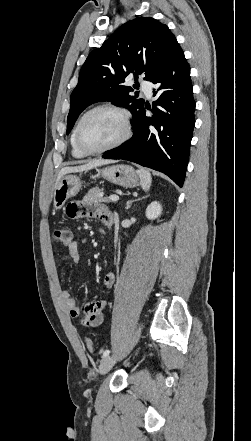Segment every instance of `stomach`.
<instances>
[{
  "instance_id": "obj_1",
  "label": "stomach",
  "mask_w": 251,
  "mask_h": 441,
  "mask_svg": "<svg viewBox=\"0 0 251 441\" xmlns=\"http://www.w3.org/2000/svg\"><path fill=\"white\" fill-rule=\"evenodd\" d=\"M99 175L116 185L134 188L139 185V175L129 165H114L98 170ZM82 181L77 175H64L54 191V208L61 209L66 201L75 196L81 189Z\"/></svg>"
}]
</instances>
